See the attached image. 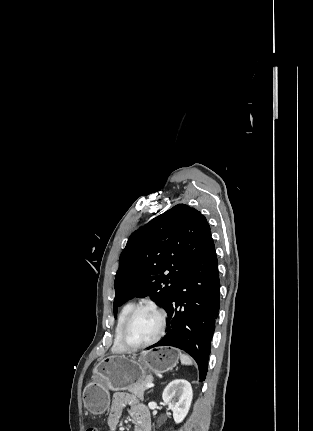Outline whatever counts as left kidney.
Returning <instances> with one entry per match:
<instances>
[{"label":"left kidney","mask_w":313,"mask_h":431,"mask_svg":"<svg viewBox=\"0 0 313 431\" xmlns=\"http://www.w3.org/2000/svg\"><path fill=\"white\" fill-rule=\"evenodd\" d=\"M162 398L172 410L175 423H181L191 406L193 398L191 384L184 379L173 380L164 389Z\"/></svg>","instance_id":"5707ae66"}]
</instances>
